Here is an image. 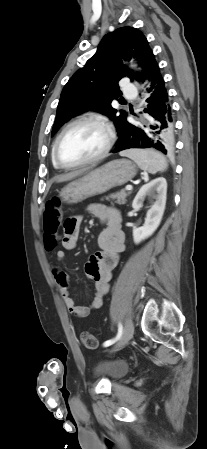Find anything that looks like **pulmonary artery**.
<instances>
[{
  "mask_svg": "<svg viewBox=\"0 0 207 449\" xmlns=\"http://www.w3.org/2000/svg\"><path fill=\"white\" fill-rule=\"evenodd\" d=\"M137 94V90L134 85L128 84L124 90V95L129 98H134Z\"/></svg>",
  "mask_w": 207,
  "mask_h": 449,
  "instance_id": "obj_1",
  "label": "pulmonary artery"
}]
</instances>
